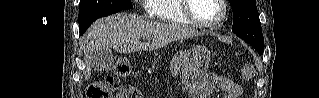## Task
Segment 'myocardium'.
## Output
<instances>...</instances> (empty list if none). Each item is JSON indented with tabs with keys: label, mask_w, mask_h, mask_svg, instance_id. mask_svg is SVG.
<instances>
[{
	"label": "myocardium",
	"mask_w": 319,
	"mask_h": 98,
	"mask_svg": "<svg viewBox=\"0 0 319 98\" xmlns=\"http://www.w3.org/2000/svg\"><path fill=\"white\" fill-rule=\"evenodd\" d=\"M190 1L192 0H181V9L186 17V19L191 23V25L200 27V28H206V29H215L219 27L221 24H223L227 18V5L225 0H217L222 8V14L220 18L214 22H204L198 18H196L190 9Z\"/></svg>",
	"instance_id": "obj_1"
}]
</instances>
